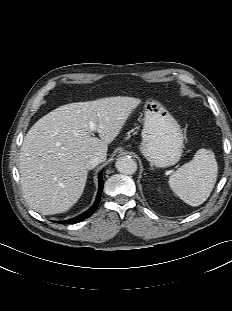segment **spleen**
Segmentation results:
<instances>
[{
    "label": "spleen",
    "instance_id": "1",
    "mask_svg": "<svg viewBox=\"0 0 232 311\" xmlns=\"http://www.w3.org/2000/svg\"><path fill=\"white\" fill-rule=\"evenodd\" d=\"M217 173L214 153L202 148L190 162L182 165L170 176L169 186L185 203L199 206L210 196Z\"/></svg>",
    "mask_w": 232,
    "mask_h": 311
}]
</instances>
